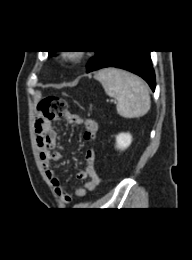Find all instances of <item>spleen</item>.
Instances as JSON below:
<instances>
[{
    "label": "spleen",
    "instance_id": "obj_1",
    "mask_svg": "<svg viewBox=\"0 0 192 260\" xmlns=\"http://www.w3.org/2000/svg\"><path fill=\"white\" fill-rule=\"evenodd\" d=\"M94 78L105 93L117 100V113L125 118H139L147 114L151 106L147 84L127 71L108 68L98 71Z\"/></svg>",
    "mask_w": 192,
    "mask_h": 260
}]
</instances>
